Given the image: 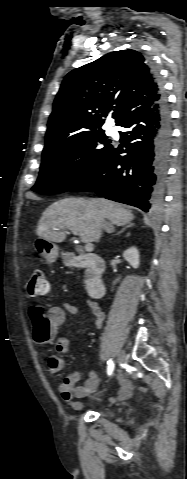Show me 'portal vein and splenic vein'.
Instances as JSON below:
<instances>
[{
	"label": "portal vein and splenic vein",
	"mask_w": 187,
	"mask_h": 479,
	"mask_svg": "<svg viewBox=\"0 0 187 479\" xmlns=\"http://www.w3.org/2000/svg\"><path fill=\"white\" fill-rule=\"evenodd\" d=\"M70 230L73 232V234H76L73 229H70ZM85 250H86L87 252L92 251V250H93V244H92V243H89V242L86 243V245H85Z\"/></svg>",
	"instance_id": "obj_1"
}]
</instances>
